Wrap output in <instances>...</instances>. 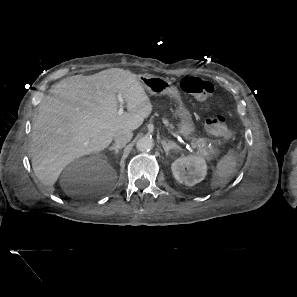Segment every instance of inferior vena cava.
<instances>
[{
    "instance_id": "obj_1",
    "label": "inferior vena cava",
    "mask_w": 297,
    "mask_h": 297,
    "mask_svg": "<svg viewBox=\"0 0 297 297\" xmlns=\"http://www.w3.org/2000/svg\"><path fill=\"white\" fill-rule=\"evenodd\" d=\"M133 137V133L129 129L120 130L115 133V144L120 147H124Z\"/></svg>"
}]
</instances>
